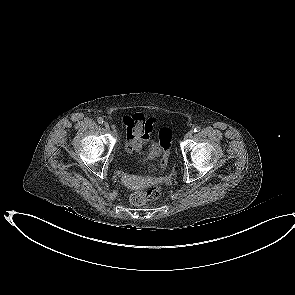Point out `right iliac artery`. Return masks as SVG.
<instances>
[{"mask_svg": "<svg viewBox=\"0 0 295 295\" xmlns=\"http://www.w3.org/2000/svg\"><path fill=\"white\" fill-rule=\"evenodd\" d=\"M97 122H98L99 124H103L104 120H103V118L99 117V118L97 119Z\"/></svg>", "mask_w": 295, "mask_h": 295, "instance_id": "obj_1", "label": "right iliac artery"}]
</instances>
